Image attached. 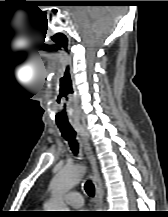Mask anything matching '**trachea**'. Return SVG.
Here are the masks:
<instances>
[{
  "label": "trachea",
  "mask_w": 168,
  "mask_h": 217,
  "mask_svg": "<svg viewBox=\"0 0 168 217\" xmlns=\"http://www.w3.org/2000/svg\"><path fill=\"white\" fill-rule=\"evenodd\" d=\"M59 129L64 139L69 142L72 152L77 155L79 151V145L76 140V132L74 129L72 127H59ZM84 189L90 197L94 196L95 188L91 181H87L85 183Z\"/></svg>",
  "instance_id": "obj_1"
}]
</instances>
